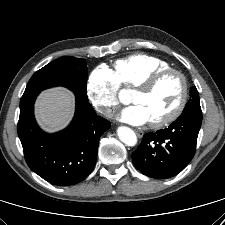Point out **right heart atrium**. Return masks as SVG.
<instances>
[{"label":"right heart atrium","instance_id":"1","mask_svg":"<svg viewBox=\"0 0 225 225\" xmlns=\"http://www.w3.org/2000/svg\"><path fill=\"white\" fill-rule=\"evenodd\" d=\"M120 85L113 71L101 66L92 71L87 82V94L92 105L106 116H112L118 104Z\"/></svg>","mask_w":225,"mask_h":225}]
</instances>
